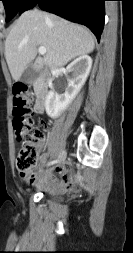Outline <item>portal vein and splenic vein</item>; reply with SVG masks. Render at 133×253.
<instances>
[{"mask_svg": "<svg viewBox=\"0 0 133 253\" xmlns=\"http://www.w3.org/2000/svg\"><path fill=\"white\" fill-rule=\"evenodd\" d=\"M38 52H39L41 55H45V54H46V48L43 47V46H41V47H39Z\"/></svg>", "mask_w": 133, "mask_h": 253, "instance_id": "portal-vein-and-splenic-vein-1", "label": "portal vein and splenic vein"}]
</instances>
